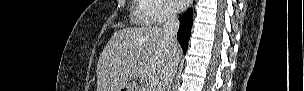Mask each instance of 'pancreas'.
Segmentation results:
<instances>
[{
    "label": "pancreas",
    "mask_w": 304,
    "mask_h": 91,
    "mask_svg": "<svg viewBox=\"0 0 304 91\" xmlns=\"http://www.w3.org/2000/svg\"><path fill=\"white\" fill-rule=\"evenodd\" d=\"M153 89H151V87L146 86L144 84L141 85V91H152Z\"/></svg>",
    "instance_id": "cf45deb5"
}]
</instances>
